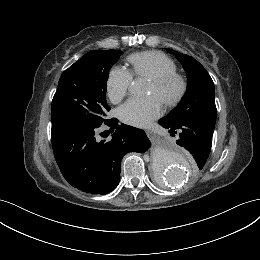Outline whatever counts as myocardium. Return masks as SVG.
Returning a JSON list of instances; mask_svg holds the SVG:
<instances>
[{"label":"myocardium","instance_id":"obj_1","mask_svg":"<svg viewBox=\"0 0 260 260\" xmlns=\"http://www.w3.org/2000/svg\"><path fill=\"white\" fill-rule=\"evenodd\" d=\"M150 80L155 87L156 94L160 95L161 100L167 105L177 102L186 88L185 79L177 73L156 76Z\"/></svg>","mask_w":260,"mask_h":260}]
</instances>
